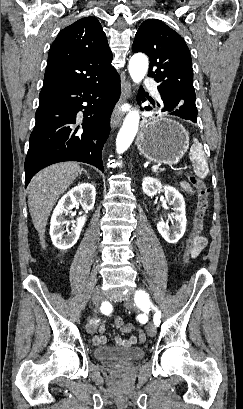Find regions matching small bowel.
I'll list each match as a JSON object with an SVG mask.
<instances>
[{
  "label": "small bowel",
  "instance_id": "c3829d8e",
  "mask_svg": "<svg viewBox=\"0 0 243 409\" xmlns=\"http://www.w3.org/2000/svg\"><path fill=\"white\" fill-rule=\"evenodd\" d=\"M181 187L185 191H187L189 193L193 192L192 188L186 182H181ZM206 245H207V239L204 236H200L199 239H198V242H197V244H196V246H195V248L193 250L192 258H196L197 256H199V254L206 247ZM104 332H105V326L101 325L98 328V334L93 337L92 342H93L94 345L99 346V345H103V344L106 343L107 338L104 335ZM138 341H140L139 335L138 336H130L127 339H122L120 337L115 338V344L118 345V346H123V347H132Z\"/></svg>",
  "mask_w": 243,
  "mask_h": 409
}]
</instances>
